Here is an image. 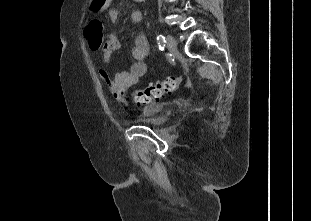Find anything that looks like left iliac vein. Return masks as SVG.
Segmentation results:
<instances>
[{"mask_svg": "<svg viewBox=\"0 0 311 221\" xmlns=\"http://www.w3.org/2000/svg\"><path fill=\"white\" fill-rule=\"evenodd\" d=\"M166 46L167 48L172 51V52H175L176 49H177V43H176V40L175 38L172 36V35H167L166 37Z\"/></svg>", "mask_w": 311, "mask_h": 221, "instance_id": "obj_1", "label": "left iliac vein"}]
</instances>
